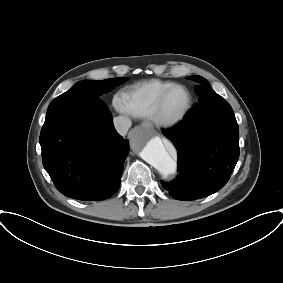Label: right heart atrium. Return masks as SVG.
I'll use <instances>...</instances> for the list:
<instances>
[{"mask_svg":"<svg viewBox=\"0 0 283 283\" xmlns=\"http://www.w3.org/2000/svg\"><path fill=\"white\" fill-rule=\"evenodd\" d=\"M114 105H115V108H116L119 112H121V113L127 112V110H126V108H125V106H124V104H123V102H122L121 99L115 98V100H114Z\"/></svg>","mask_w":283,"mask_h":283,"instance_id":"d8ad5b80","label":"right heart atrium"}]
</instances>
